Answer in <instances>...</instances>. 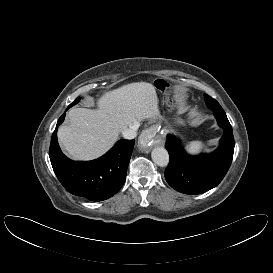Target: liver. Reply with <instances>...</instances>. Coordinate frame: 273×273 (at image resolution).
I'll use <instances>...</instances> for the list:
<instances>
[{
	"mask_svg": "<svg viewBox=\"0 0 273 273\" xmlns=\"http://www.w3.org/2000/svg\"><path fill=\"white\" fill-rule=\"evenodd\" d=\"M98 109L73 108L69 125L61 126L58 139L75 160H93L105 154L119 133L136 122L159 116L155 87L136 82L105 92L97 100Z\"/></svg>",
	"mask_w": 273,
	"mask_h": 273,
	"instance_id": "obj_1",
	"label": "liver"
}]
</instances>
